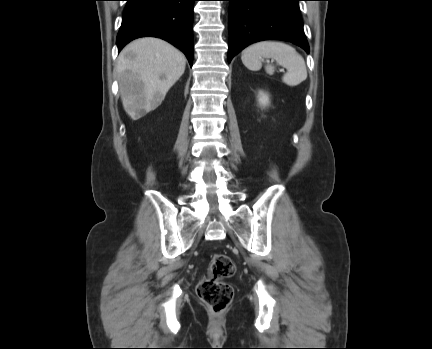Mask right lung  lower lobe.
Listing matches in <instances>:
<instances>
[{
	"label": "right lung lower lobe",
	"instance_id": "right-lung-lower-lobe-1",
	"mask_svg": "<svg viewBox=\"0 0 432 349\" xmlns=\"http://www.w3.org/2000/svg\"><path fill=\"white\" fill-rule=\"evenodd\" d=\"M117 46L145 36L162 38L179 48L193 63V5L195 0H126Z\"/></svg>",
	"mask_w": 432,
	"mask_h": 349
}]
</instances>
